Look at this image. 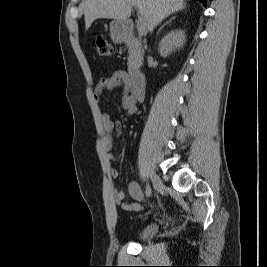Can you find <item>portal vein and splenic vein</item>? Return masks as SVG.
Instances as JSON below:
<instances>
[{"label": "portal vein and splenic vein", "instance_id": "obj_1", "mask_svg": "<svg viewBox=\"0 0 267 267\" xmlns=\"http://www.w3.org/2000/svg\"><path fill=\"white\" fill-rule=\"evenodd\" d=\"M146 22L144 17L139 16L137 21V29L140 35H143L146 31Z\"/></svg>", "mask_w": 267, "mask_h": 267}]
</instances>
